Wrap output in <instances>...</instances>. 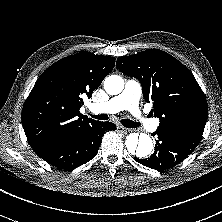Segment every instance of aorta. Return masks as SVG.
I'll return each mask as SVG.
<instances>
[{
	"instance_id": "762f6f07",
	"label": "aorta",
	"mask_w": 222,
	"mask_h": 222,
	"mask_svg": "<svg viewBox=\"0 0 222 222\" xmlns=\"http://www.w3.org/2000/svg\"><path fill=\"white\" fill-rule=\"evenodd\" d=\"M104 89L110 95H117L124 89V80L118 75H110L104 80ZM129 153L138 158H147L153 149L152 139L145 133H131L125 141Z\"/></svg>"
}]
</instances>
